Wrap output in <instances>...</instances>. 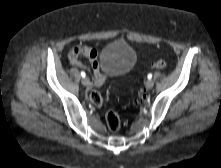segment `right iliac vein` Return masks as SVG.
<instances>
[{
    "label": "right iliac vein",
    "instance_id": "obj_1",
    "mask_svg": "<svg viewBox=\"0 0 221 168\" xmlns=\"http://www.w3.org/2000/svg\"><path fill=\"white\" fill-rule=\"evenodd\" d=\"M82 84H83L84 86H86V87H89V86L91 85V82H90L89 78L84 77V78L82 79Z\"/></svg>",
    "mask_w": 221,
    "mask_h": 168
}]
</instances>
